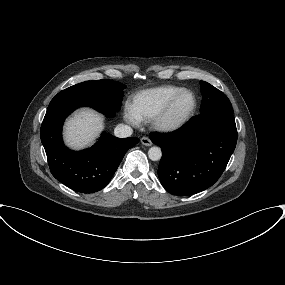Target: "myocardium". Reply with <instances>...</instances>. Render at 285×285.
<instances>
[{
  "label": "myocardium",
  "instance_id": "myocardium-1",
  "mask_svg": "<svg viewBox=\"0 0 285 285\" xmlns=\"http://www.w3.org/2000/svg\"><path fill=\"white\" fill-rule=\"evenodd\" d=\"M185 95H190L193 99L190 109L181 117L174 118L172 116L173 110L178 101ZM197 109V98L195 94L190 90H183L172 97L166 105L159 111V113L153 118L154 127L165 133L176 132L182 129L192 119Z\"/></svg>",
  "mask_w": 285,
  "mask_h": 285
}]
</instances>
